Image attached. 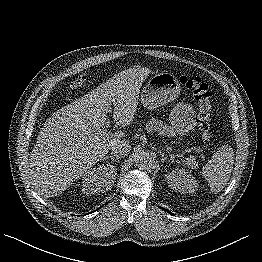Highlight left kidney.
<instances>
[{"label":"left kidney","instance_id":"obj_1","mask_svg":"<svg viewBox=\"0 0 262 262\" xmlns=\"http://www.w3.org/2000/svg\"><path fill=\"white\" fill-rule=\"evenodd\" d=\"M168 185L179 193H195L198 187L197 180L191 172L185 169H175L166 174Z\"/></svg>","mask_w":262,"mask_h":262}]
</instances>
